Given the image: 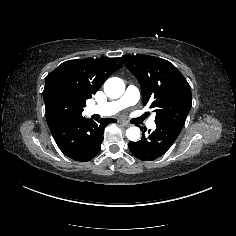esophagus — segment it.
I'll return each instance as SVG.
<instances>
[{
  "mask_svg": "<svg viewBox=\"0 0 236 236\" xmlns=\"http://www.w3.org/2000/svg\"><path fill=\"white\" fill-rule=\"evenodd\" d=\"M118 122H119L120 124H123L124 126H127V127L131 125L129 122L124 121V120H118Z\"/></svg>",
  "mask_w": 236,
  "mask_h": 236,
  "instance_id": "obj_1",
  "label": "esophagus"
}]
</instances>
